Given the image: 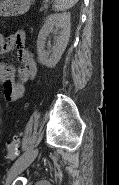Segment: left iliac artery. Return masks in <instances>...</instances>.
<instances>
[{"label": "left iliac artery", "instance_id": "obj_1", "mask_svg": "<svg viewBox=\"0 0 119 185\" xmlns=\"http://www.w3.org/2000/svg\"><path fill=\"white\" fill-rule=\"evenodd\" d=\"M31 152V149H28L25 153H23L18 159L17 161L13 164V167L15 165H17L25 156H27L29 153Z\"/></svg>", "mask_w": 119, "mask_h": 185}]
</instances>
